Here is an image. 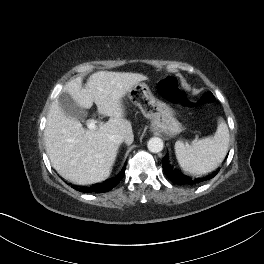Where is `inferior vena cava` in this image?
<instances>
[{
  "label": "inferior vena cava",
  "instance_id": "1",
  "mask_svg": "<svg viewBox=\"0 0 264 264\" xmlns=\"http://www.w3.org/2000/svg\"><path fill=\"white\" fill-rule=\"evenodd\" d=\"M110 141L116 143V144H121L123 141H125V138L120 135H111L109 137Z\"/></svg>",
  "mask_w": 264,
  "mask_h": 264
}]
</instances>
